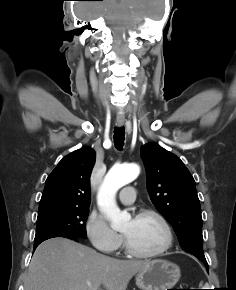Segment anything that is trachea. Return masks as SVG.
<instances>
[{
    "label": "trachea",
    "mask_w": 236,
    "mask_h": 290,
    "mask_svg": "<svg viewBox=\"0 0 236 290\" xmlns=\"http://www.w3.org/2000/svg\"><path fill=\"white\" fill-rule=\"evenodd\" d=\"M125 128H115L114 129V144L118 150H122L125 140Z\"/></svg>",
    "instance_id": "1"
}]
</instances>
